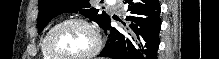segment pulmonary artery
Instances as JSON below:
<instances>
[{
  "label": "pulmonary artery",
  "instance_id": "pulmonary-artery-1",
  "mask_svg": "<svg viewBox=\"0 0 219 59\" xmlns=\"http://www.w3.org/2000/svg\"><path fill=\"white\" fill-rule=\"evenodd\" d=\"M107 3L113 7H116L118 5V1H107Z\"/></svg>",
  "mask_w": 219,
  "mask_h": 59
}]
</instances>
